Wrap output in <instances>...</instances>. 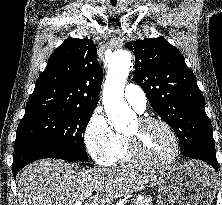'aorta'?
Instances as JSON below:
<instances>
[{"label": "aorta", "instance_id": "762f6f07", "mask_svg": "<svg viewBox=\"0 0 222 205\" xmlns=\"http://www.w3.org/2000/svg\"><path fill=\"white\" fill-rule=\"evenodd\" d=\"M131 66L126 51L114 53L108 64L103 89V104L107 117L116 131L123 132L134 119L135 113L123 99L124 86Z\"/></svg>", "mask_w": 222, "mask_h": 205}]
</instances>
